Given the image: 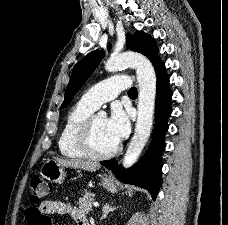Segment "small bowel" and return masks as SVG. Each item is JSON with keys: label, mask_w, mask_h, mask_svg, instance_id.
I'll use <instances>...</instances> for the list:
<instances>
[{"label": "small bowel", "mask_w": 228, "mask_h": 225, "mask_svg": "<svg viewBox=\"0 0 228 225\" xmlns=\"http://www.w3.org/2000/svg\"><path fill=\"white\" fill-rule=\"evenodd\" d=\"M53 214L69 215L77 222V225L80 219L84 217L79 209L72 207L66 202L47 200L43 201L38 207L28 209L26 213L27 225H55V222H51V218H47V215Z\"/></svg>", "instance_id": "c3829d8e"}]
</instances>
